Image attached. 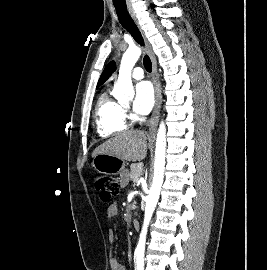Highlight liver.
<instances>
[{"instance_id": "1", "label": "liver", "mask_w": 267, "mask_h": 270, "mask_svg": "<svg viewBox=\"0 0 267 270\" xmlns=\"http://www.w3.org/2000/svg\"><path fill=\"white\" fill-rule=\"evenodd\" d=\"M147 138L144 131L131 130L116 134L98 146L92 153L110 154L127 161H141L146 157Z\"/></svg>"}]
</instances>
